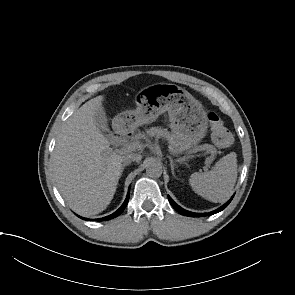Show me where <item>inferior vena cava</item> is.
Masks as SVG:
<instances>
[{
	"label": "inferior vena cava",
	"instance_id": "inferior-vena-cava-1",
	"mask_svg": "<svg viewBox=\"0 0 295 295\" xmlns=\"http://www.w3.org/2000/svg\"><path fill=\"white\" fill-rule=\"evenodd\" d=\"M142 159L141 154L130 153L123 157V162L131 163L132 161L139 162Z\"/></svg>",
	"mask_w": 295,
	"mask_h": 295
}]
</instances>
